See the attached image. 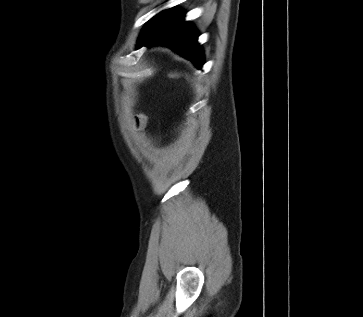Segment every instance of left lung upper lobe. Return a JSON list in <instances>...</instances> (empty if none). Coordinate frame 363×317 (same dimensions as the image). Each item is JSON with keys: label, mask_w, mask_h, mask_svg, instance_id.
<instances>
[{"label": "left lung upper lobe", "mask_w": 363, "mask_h": 317, "mask_svg": "<svg viewBox=\"0 0 363 317\" xmlns=\"http://www.w3.org/2000/svg\"><path fill=\"white\" fill-rule=\"evenodd\" d=\"M149 23H150V20L147 22L146 26L144 27V29H143V31H142V33H141V36H142V35L144 34V32L146 31V29H147V27H148ZM141 36H140V37H141Z\"/></svg>", "instance_id": "1"}]
</instances>
